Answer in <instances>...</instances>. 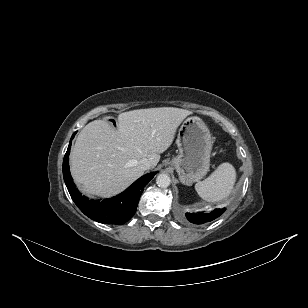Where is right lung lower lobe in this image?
Instances as JSON below:
<instances>
[{
  "label": "right lung lower lobe",
  "mask_w": 308,
  "mask_h": 308,
  "mask_svg": "<svg viewBox=\"0 0 308 308\" xmlns=\"http://www.w3.org/2000/svg\"><path fill=\"white\" fill-rule=\"evenodd\" d=\"M75 133L72 135L73 139ZM71 140L64 156L63 177L71 198L78 208L94 221L105 224L121 225L128 221L136 212L139 198L143 188L149 183L157 172L142 176L123 193L103 201L89 200L81 196L72 181L69 170V153Z\"/></svg>",
  "instance_id": "obj_1"
}]
</instances>
